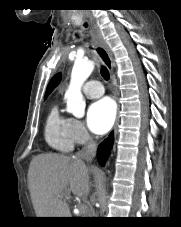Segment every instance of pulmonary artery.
Here are the masks:
<instances>
[{"label":"pulmonary artery","mask_w":181,"mask_h":227,"mask_svg":"<svg viewBox=\"0 0 181 227\" xmlns=\"http://www.w3.org/2000/svg\"><path fill=\"white\" fill-rule=\"evenodd\" d=\"M83 92L88 98H98L104 94V88L100 81L90 80L83 86Z\"/></svg>","instance_id":"obj_1"}]
</instances>
